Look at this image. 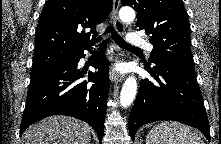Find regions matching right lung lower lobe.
<instances>
[{
    "instance_id": "1",
    "label": "right lung lower lobe",
    "mask_w": 221,
    "mask_h": 144,
    "mask_svg": "<svg viewBox=\"0 0 221 144\" xmlns=\"http://www.w3.org/2000/svg\"><path fill=\"white\" fill-rule=\"evenodd\" d=\"M104 47L92 64L97 72L89 71L88 81L80 80L86 72L77 66L85 56L84 50H91V46L78 51L66 62L31 76L20 136L31 124L45 117L67 115L90 124L102 141L109 90V61Z\"/></svg>"
}]
</instances>
